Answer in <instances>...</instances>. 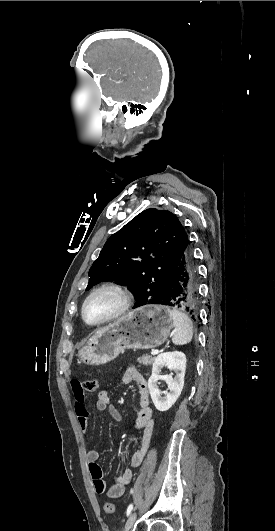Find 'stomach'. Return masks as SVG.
<instances>
[{"mask_svg":"<svg viewBox=\"0 0 275 531\" xmlns=\"http://www.w3.org/2000/svg\"><path fill=\"white\" fill-rule=\"evenodd\" d=\"M168 301H141L108 327L97 329L77 357L85 365H105L124 349H155L167 341L173 327Z\"/></svg>","mask_w":275,"mask_h":531,"instance_id":"1","label":"stomach"}]
</instances>
